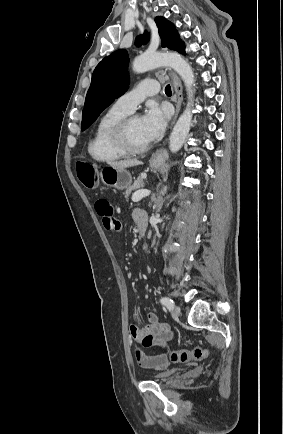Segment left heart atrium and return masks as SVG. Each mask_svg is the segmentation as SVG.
Wrapping results in <instances>:
<instances>
[{
    "label": "left heart atrium",
    "instance_id": "obj_1",
    "mask_svg": "<svg viewBox=\"0 0 283 434\" xmlns=\"http://www.w3.org/2000/svg\"><path fill=\"white\" fill-rule=\"evenodd\" d=\"M169 117V111L156 104L149 106L141 117V129L145 139L150 142L159 138L164 132Z\"/></svg>",
    "mask_w": 283,
    "mask_h": 434
}]
</instances>
